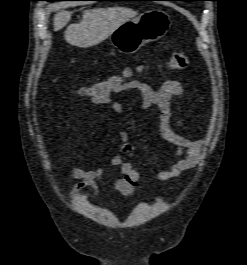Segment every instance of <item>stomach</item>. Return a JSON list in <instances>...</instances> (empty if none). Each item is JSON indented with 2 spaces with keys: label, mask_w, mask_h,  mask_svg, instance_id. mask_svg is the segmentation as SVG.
<instances>
[{
  "label": "stomach",
  "mask_w": 247,
  "mask_h": 265,
  "mask_svg": "<svg viewBox=\"0 0 247 265\" xmlns=\"http://www.w3.org/2000/svg\"><path fill=\"white\" fill-rule=\"evenodd\" d=\"M170 26L166 12L152 9L123 23L110 35V41L119 52L133 54L146 43L162 38Z\"/></svg>",
  "instance_id": "0dacf381"
}]
</instances>
